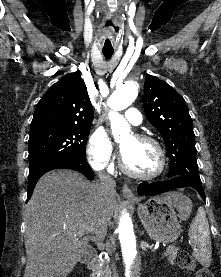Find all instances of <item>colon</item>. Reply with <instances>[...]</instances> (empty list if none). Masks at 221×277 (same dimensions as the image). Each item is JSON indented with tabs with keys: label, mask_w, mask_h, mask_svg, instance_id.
I'll list each match as a JSON object with an SVG mask.
<instances>
[{
	"label": "colon",
	"mask_w": 221,
	"mask_h": 277,
	"mask_svg": "<svg viewBox=\"0 0 221 277\" xmlns=\"http://www.w3.org/2000/svg\"><path fill=\"white\" fill-rule=\"evenodd\" d=\"M177 264L184 270L193 271L196 269V262L193 257L187 252H180L176 258ZM197 277H215V275L207 269H200L197 272Z\"/></svg>",
	"instance_id": "1"
}]
</instances>
